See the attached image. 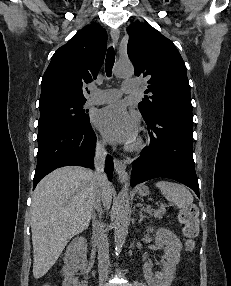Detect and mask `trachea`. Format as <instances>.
Here are the masks:
<instances>
[{"instance_id": "obj_1", "label": "trachea", "mask_w": 231, "mask_h": 286, "mask_svg": "<svg viewBox=\"0 0 231 286\" xmlns=\"http://www.w3.org/2000/svg\"><path fill=\"white\" fill-rule=\"evenodd\" d=\"M115 62L114 48L111 46L107 50L105 69L108 77L112 75V68Z\"/></svg>"}]
</instances>
